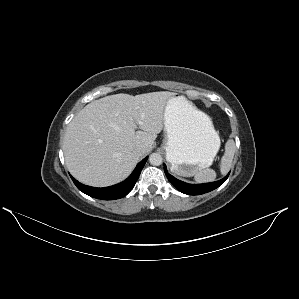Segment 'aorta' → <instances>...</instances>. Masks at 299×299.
<instances>
[{
    "label": "aorta",
    "mask_w": 299,
    "mask_h": 299,
    "mask_svg": "<svg viewBox=\"0 0 299 299\" xmlns=\"http://www.w3.org/2000/svg\"><path fill=\"white\" fill-rule=\"evenodd\" d=\"M150 164L159 166L162 164V156L159 153H152L149 157Z\"/></svg>",
    "instance_id": "aorta-1"
}]
</instances>
